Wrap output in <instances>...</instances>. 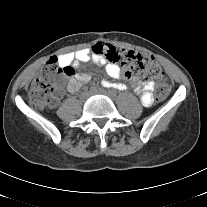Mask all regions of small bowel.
Returning <instances> with one entry per match:
<instances>
[{"label": "small bowel", "mask_w": 207, "mask_h": 207, "mask_svg": "<svg viewBox=\"0 0 207 207\" xmlns=\"http://www.w3.org/2000/svg\"><path fill=\"white\" fill-rule=\"evenodd\" d=\"M58 62L61 66H70L74 71L67 83V90L71 93L78 91L90 81V75L85 72L86 65L103 66L106 74L114 79L120 78L123 75L117 64L107 61L103 55L95 52L93 47L92 50L80 49L76 52L61 54L58 56ZM131 82L136 91L141 95L142 104L150 106L154 101L152 94L153 83L140 82L136 78H132ZM99 86L110 91L129 92L131 90L129 82H113L106 78L99 80Z\"/></svg>", "instance_id": "obj_1"}]
</instances>
